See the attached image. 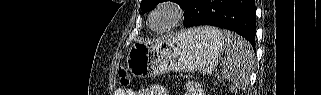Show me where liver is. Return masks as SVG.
Listing matches in <instances>:
<instances>
[{"instance_id":"6515ba94","label":"liver","mask_w":321,"mask_h":95,"mask_svg":"<svg viewBox=\"0 0 321 95\" xmlns=\"http://www.w3.org/2000/svg\"><path fill=\"white\" fill-rule=\"evenodd\" d=\"M198 31H200L201 33H203V31H201L199 28H197Z\"/></svg>"}]
</instances>
